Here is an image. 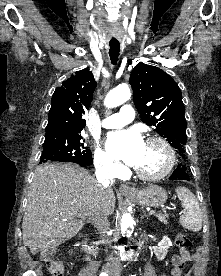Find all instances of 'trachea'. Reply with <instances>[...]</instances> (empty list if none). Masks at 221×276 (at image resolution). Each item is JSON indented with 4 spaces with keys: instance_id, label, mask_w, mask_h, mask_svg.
Returning a JSON list of instances; mask_svg holds the SVG:
<instances>
[{
    "instance_id": "3493384b",
    "label": "trachea",
    "mask_w": 221,
    "mask_h": 276,
    "mask_svg": "<svg viewBox=\"0 0 221 276\" xmlns=\"http://www.w3.org/2000/svg\"><path fill=\"white\" fill-rule=\"evenodd\" d=\"M109 56L111 59L112 64H116L118 61L119 57V52H120V43L118 41L115 42H109Z\"/></svg>"
}]
</instances>
